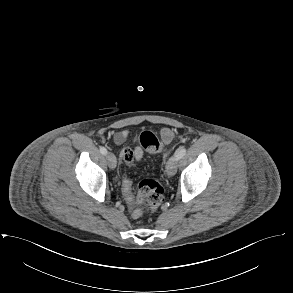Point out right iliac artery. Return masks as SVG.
Here are the masks:
<instances>
[{
    "label": "right iliac artery",
    "instance_id": "1",
    "mask_svg": "<svg viewBox=\"0 0 293 293\" xmlns=\"http://www.w3.org/2000/svg\"><path fill=\"white\" fill-rule=\"evenodd\" d=\"M100 152L103 154V155H106L107 154V149L105 147H100Z\"/></svg>",
    "mask_w": 293,
    "mask_h": 293
}]
</instances>
